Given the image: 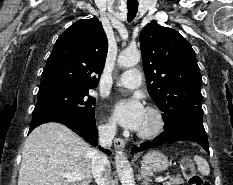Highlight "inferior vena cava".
Returning a JSON list of instances; mask_svg holds the SVG:
<instances>
[{
	"instance_id": "1",
	"label": "inferior vena cava",
	"mask_w": 233,
	"mask_h": 185,
	"mask_svg": "<svg viewBox=\"0 0 233 185\" xmlns=\"http://www.w3.org/2000/svg\"><path fill=\"white\" fill-rule=\"evenodd\" d=\"M98 133L99 145L103 148H109L116 135V124L100 126ZM91 166L97 185H111V168L105 154L99 152L95 153L92 158Z\"/></svg>"
}]
</instances>
